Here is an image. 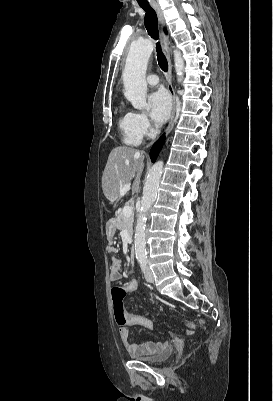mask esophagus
<instances>
[{
    "mask_svg": "<svg viewBox=\"0 0 273 401\" xmlns=\"http://www.w3.org/2000/svg\"><path fill=\"white\" fill-rule=\"evenodd\" d=\"M152 7L157 14L159 25L163 29V27L165 25V20H164L163 12H162L160 6L157 3H154V4H152ZM160 43L162 46L163 53H164L165 57L167 58V62H168V73H167V77H166L167 83H168L167 89H168V92H169V94L171 96V100H172L171 117H170L167 129H166V135H168V133H170V131L172 130V128L174 126L175 112H176V96H175V92H174L173 84H172V65H171V58H170L169 47H168V36L163 32V30H161V32H160Z\"/></svg>",
    "mask_w": 273,
    "mask_h": 401,
    "instance_id": "esophagus-1",
    "label": "esophagus"
}]
</instances>
